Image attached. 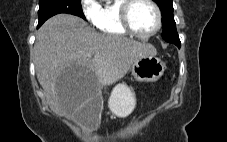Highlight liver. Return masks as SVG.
I'll return each instance as SVG.
<instances>
[{
	"label": "liver",
	"mask_w": 227,
	"mask_h": 142,
	"mask_svg": "<svg viewBox=\"0 0 227 142\" xmlns=\"http://www.w3.org/2000/svg\"><path fill=\"white\" fill-rule=\"evenodd\" d=\"M156 48L124 36L101 34L83 19L58 14L36 33L34 64L50 107L74 117L99 90L123 78L139 58L155 56ZM60 68H83L84 81H57ZM95 81V83H94Z\"/></svg>",
	"instance_id": "obj_1"
}]
</instances>
